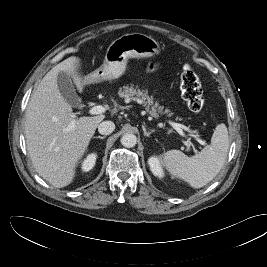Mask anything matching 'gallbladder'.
<instances>
[{
    "label": "gallbladder",
    "instance_id": "gallbladder-1",
    "mask_svg": "<svg viewBox=\"0 0 267 267\" xmlns=\"http://www.w3.org/2000/svg\"><path fill=\"white\" fill-rule=\"evenodd\" d=\"M57 83H58L60 93L65 99V101L73 107L80 106L81 99L76 93V89L73 84L72 77L68 73L61 71L58 74Z\"/></svg>",
    "mask_w": 267,
    "mask_h": 267
}]
</instances>
